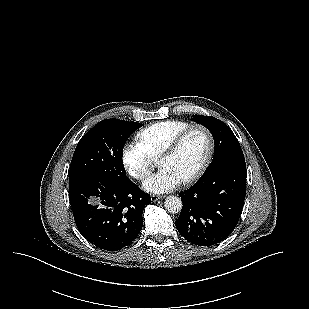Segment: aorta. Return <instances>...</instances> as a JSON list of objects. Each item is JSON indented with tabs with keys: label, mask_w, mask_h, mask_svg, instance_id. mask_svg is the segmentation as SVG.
<instances>
[{
	"label": "aorta",
	"mask_w": 309,
	"mask_h": 309,
	"mask_svg": "<svg viewBox=\"0 0 309 309\" xmlns=\"http://www.w3.org/2000/svg\"><path fill=\"white\" fill-rule=\"evenodd\" d=\"M165 209L170 213H178L182 209V201L176 196H168L164 202Z\"/></svg>",
	"instance_id": "762f6f07"
}]
</instances>
